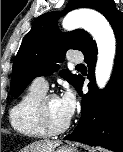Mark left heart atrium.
<instances>
[{"mask_svg": "<svg viewBox=\"0 0 123 152\" xmlns=\"http://www.w3.org/2000/svg\"><path fill=\"white\" fill-rule=\"evenodd\" d=\"M60 102L64 114L69 120L73 116L76 108V97L74 92L70 88H67L63 93V95L61 96Z\"/></svg>", "mask_w": 123, "mask_h": 152, "instance_id": "left-heart-atrium-1", "label": "left heart atrium"}]
</instances>
